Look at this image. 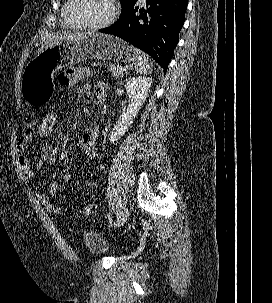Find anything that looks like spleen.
Returning <instances> with one entry per match:
<instances>
[{
    "label": "spleen",
    "instance_id": "3e777b00",
    "mask_svg": "<svg viewBox=\"0 0 272 303\" xmlns=\"http://www.w3.org/2000/svg\"><path fill=\"white\" fill-rule=\"evenodd\" d=\"M134 51L137 55V59L135 62V71L139 74H147L152 71V62L149 56L143 51L134 48Z\"/></svg>",
    "mask_w": 272,
    "mask_h": 303
}]
</instances>
